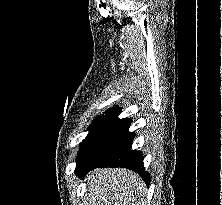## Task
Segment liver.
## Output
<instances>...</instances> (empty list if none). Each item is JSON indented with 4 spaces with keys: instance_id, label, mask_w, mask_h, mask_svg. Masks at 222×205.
<instances>
[{
    "instance_id": "1",
    "label": "liver",
    "mask_w": 222,
    "mask_h": 205,
    "mask_svg": "<svg viewBox=\"0 0 222 205\" xmlns=\"http://www.w3.org/2000/svg\"><path fill=\"white\" fill-rule=\"evenodd\" d=\"M140 176L121 168H98L87 178L86 205H146Z\"/></svg>"
}]
</instances>
